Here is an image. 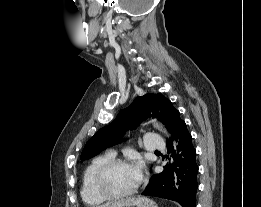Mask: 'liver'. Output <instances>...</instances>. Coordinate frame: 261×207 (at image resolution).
Returning a JSON list of instances; mask_svg holds the SVG:
<instances>
[{"label": "liver", "instance_id": "1", "mask_svg": "<svg viewBox=\"0 0 261 207\" xmlns=\"http://www.w3.org/2000/svg\"><path fill=\"white\" fill-rule=\"evenodd\" d=\"M110 203H106V204H103L101 206H98V207H108Z\"/></svg>", "mask_w": 261, "mask_h": 207}]
</instances>
